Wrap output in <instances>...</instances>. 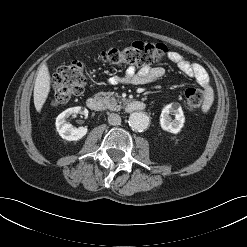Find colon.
<instances>
[{"label": "colon", "mask_w": 247, "mask_h": 247, "mask_svg": "<svg viewBox=\"0 0 247 247\" xmlns=\"http://www.w3.org/2000/svg\"><path fill=\"white\" fill-rule=\"evenodd\" d=\"M168 48L161 43L134 42L121 49H109L99 55L103 63L111 65L148 66L162 60ZM86 85V72L80 61H72L60 66L53 78V102L62 104L82 94ZM186 106L194 111L203 104L202 90L191 87L185 91Z\"/></svg>", "instance_id": "colon-1"}]
</instances>
